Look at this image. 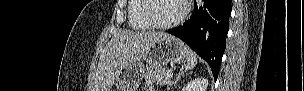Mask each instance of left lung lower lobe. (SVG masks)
Masks as SVG:
<instances>
[{"mask_svg":"<svg viewBox=\"0 0 304 91\" xmlns=\"http://www.w3.org/2000/svg\"><path fill=\"white\" fill-rule=\"evenodd\" d=\"M194 2L191 18L182 26L168 30V33L183 40L206 60L216 80L226 46L231 0Z\"/></svg>","mask_w":304,"mask_h":91,"instance_id":"left-lung-lower-lobe-1","label":"left lung lower lobe"}]
</instances>
